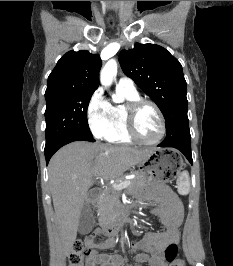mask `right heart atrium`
Instances as JSON below:
<instances>
[{
	"mask_svg": "<svg viewBox=\"0 0 233 266\" xmlns=\"http://www.w3.org/2000/svg\"><path fill=\"white\" fill-rule=\"evenodd\" d=\"M87 122L92 134L97 138H106L113 130L111 104L100 89L96 90L87 105Z\"/></svg>",
	"mask_w": 233,
	"mask_h": 266,
	"instance_id": "1",
	"label": "right heart atrium"
}]
</instances>
